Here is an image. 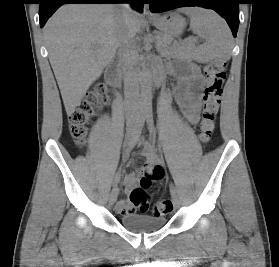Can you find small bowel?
<instances>
[{
  "label": "small bowel",
  "mask_w": 279,
  "mask_h": 267,
  "mask_svg": "<svg viewBox=\"0 0 279 267\" xmlns=\"http://www.w3.org/2000/svg\"><path fill=\"white\" fill-rule=\"evenodd\" d=\"M170 71L178 79L175 95L180 104L181 110L186 119L190 123L195 124L198 121L200 113L198 90H200L204 84L203 77L198 68L192 64H187L179 68H171ZM143 156L149 167H155L163 171L160 159L157 157L151 145L145 146ZM137 182L138 178L135 174H126L124 177L126 192L131 193V191L135 189ZM116 210L121 215L132 214L135 212L136 207L130 201H119L116 204Z\"/></svg>",
  "instance_id": "c3829d8e"
}]
</instances>
